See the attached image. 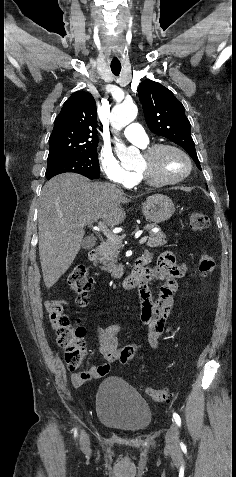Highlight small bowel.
Listing matches in <instances>:
<instances>
[{"instance_id": "1", "label": "small bowel", "mask_w": 236, "mask_h": 477, "mask_svg": "<svg viewBox=\"0 0 236 477\" xmlns=\"http://www.w3.org/2000/svg\"><path fill=\"white\" fill-rule=\"evenodd\" d=\"M143 257L153 258L152 253H146ZM179 263L170 251H164L157 257V264L145 270L147 283L138 288L140 300L141 320L148 331V343L152 348H158L161 337L170 331V326L166 324V319L171 312L174 304L173 296L178 290L177 280L184 276L183 272H179ZM153 280H162L163 284L159 290V297L154 300L148 283ZM64 301L61 299L49 300L45 304L53 330L58 329L57 319L63 314ZM122 324L113 323L105 328H94L93 332L99 341L98 352L104 356L106 363L101 365L91 364L88 371L75 373L72 381L75 386H81L90 380H98L106 376L112 362L119 359L122 349L132 346L126 345L120 349V333ZM137 349L134 353L136 354Z\"/></svg>"}]
</instances>
